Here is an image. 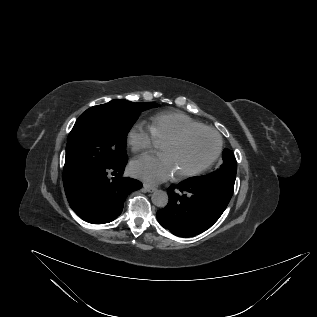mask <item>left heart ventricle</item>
Returning <instances> with one entry per match:
<instances>
[{"instance_id":"obj_1","label":"left heart ventricle","mask_w":317,"mask_h":317,"mask_svg":"<svg viewBox=\"0 0 317 317\" xmlns=\"http://www.w3.org/2000/svg\"><path fill=\"white\" fill-rule=\"evenodd\" d=\"M217 138L207 132L196 133L177 145H165L166 154L177 173L191 171L204 164L215 152Z\"/></svg>"}]
</instances>
